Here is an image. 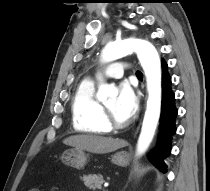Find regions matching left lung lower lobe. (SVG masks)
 Returning <instances> with one entry per match:
<instances>
[{"label": "left lung lower lobe", "mask_w": 210, "mask_h": 191, "mask_svg": "<svg viewBox=\"0 0 210 191\" xmlns=\"http://www.w3.org/2000/svg\"><path fill=\"white\" fill-rule=\"evenodd\" d=\"M168 66L162 61V108L160 117L159 142L155 151L149 156L150 162L161 172H167L165 159L171 152L172 136L176 133L175 119L177 108L175 95L171 89V77L168 74Z\"/></svg>", "instance_id": "0a47b994"}]
</instances>
